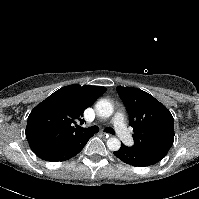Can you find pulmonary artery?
I'll use <instances>...</instances> for the list:
<instances>
[{"instance_id": "e3ab8cb5", "label": "pulmonary artery", "mask_w": 199, "mask_h": 199, "mask_svg": "<svg viewBox=\"0 0 199 199\" xmlns=\"http://www.w3.org/2000/svg\"><path fill=\"white\" fill-rule=\"evenodd\" d=\"M112 123L114 124L115 131L119 138L126 145L132 146L134 144V139L125 124V115L122 112H117L112 119Z\"/></svg>"}]
</instances>
